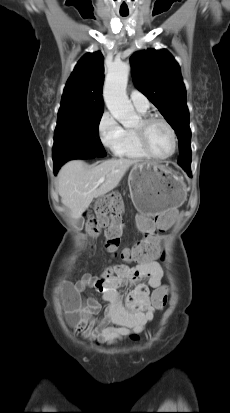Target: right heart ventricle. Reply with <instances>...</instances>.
Segmentation results:
<instances>
[{"mask_svg":"<svg viewBox=\"0 0 230 413\" xmlns=\"http://www.w3.org/2000/svg\"><path fill=\"white\" fill-rule=\"evenodd\" d=\"M139 113L144 115L146 111L138 110ZM119 158H126L131 160H141L148 156L142 150L135 130L131 128L124 129L123 139L115 153Z\"/></svg>","mask_w":230,"mask_h":413,"instance_id":"obj_1","label":"right heart ventricle"}]
</instances>
